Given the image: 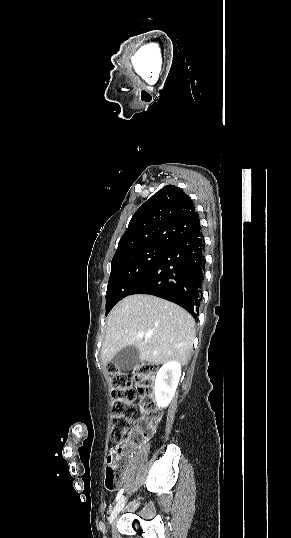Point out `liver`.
<instances>
[{
	"instance_id": "1",
	"label": "liver",
	"mask_w": 291,
	"mask_h": 538,
	"mask_svg": "<svg viewBox=\"0 0 291 538\" xmlns=\"http://www.w3.org/2000/svg\"><path fill=\"white\" fill-rule=\"evenodd\" d=\"M194 326L193 317L172 302L146 294L128 296L107 317L102 362L106 365L120 350L134 346L141 361L185 364L193 346Z\"/></svg>"
}]
</instances>
